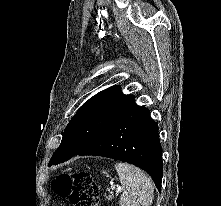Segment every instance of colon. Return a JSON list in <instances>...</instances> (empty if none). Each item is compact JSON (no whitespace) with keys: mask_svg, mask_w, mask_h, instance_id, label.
Masks as SVG:
<instances>
[{"mask_svg":"<svg viewBox=\"0 0 221 206\" xmlns=\"http://www.w3.org/2000/svg\"><path fill=\"white\" fill-rule=\"evenodd\" d=\"M54 191L68 198L72 206H97L99 187L87 172H66L53 181Z\"/></svg>","mask_w":221,"mask_h":206,"instance_id":"5ec220e1","label":"colon"}]
</instances>
